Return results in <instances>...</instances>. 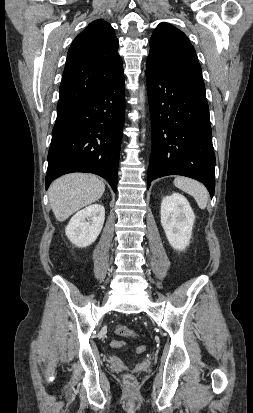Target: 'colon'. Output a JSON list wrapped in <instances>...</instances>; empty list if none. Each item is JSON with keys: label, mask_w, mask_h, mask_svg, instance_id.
<instances>
[{"label": "colon", "mask_w": 253, "mask_h": 413, "mask_svg": "<svg viewBox=\"0 0 253 413\" xmlns=\"http://www.w3.org/2000/svg\"><path fill=\"white\" fill-rule=\"evenodd\" d=\"M115 333L118 336H122V337H135L136 333L131 330L130 328H128L127 326L123 325V324H118L115 326ZM112 346L114 348H121L123 346V343L121 341L118 340H114L112 342ZM146 350V346L142 345L137 347L136 351L139 353H142ZM124 382L128 385V386H133L136 383V379L134 377V375L132 374H125L124 376Z\"/></svg>", "instance_id": "obj_1"}]
</instances>
